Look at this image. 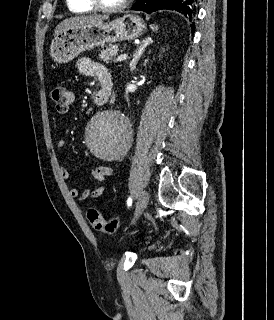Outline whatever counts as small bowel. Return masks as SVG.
Masks as SVG:
<instances>
[{"instance_id":"obj_1","label":"small bowel","mask_w":274,"mask_h":320,"mask_svg":"<svg viewBox=\"0 0 274 320\" xmlns=\"http://www.w3.org/2000/svg\"><path fill=\"white\" fill-rule=\"evenodd\" d=\"M77 70L83 76L97 77L100 83V91L107 92L110 95L113 89V76L104 65L88 56H83L77 61ZM65 146L66 141L64 139L58 141L57 148L59 150L64 149ZM59 173L64 180L68 181L71 179L68 170L64 166L59 167ZM112 174L113 169L110 166H98L92 170V177L97 182H99L100 185L94 189H80L78 187H71L69 189V195L80 202L86 201L88 199L99 198L105 192L104 183L109 180Z\"/></svg>"}]
</instances>
